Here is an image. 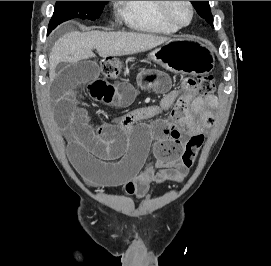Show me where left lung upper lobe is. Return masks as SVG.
<instances>
[{
	"label": "left lung upper lobe",
	"instance_id": "left-lung-upper-lobe-1",
	"mask_svg": "<svg viewBox=\"0 0 271 266\" xmlns=\"http://www.w3.org/2000/svg\"><path fill=\"white\" fill-rule=\"evenodd\" d=\"M197 13L213 27V17L210 11L209 1H190Z\"/></svg>",
	"mask_w": 271,
	"mask_h": 266
}]
</instances>
